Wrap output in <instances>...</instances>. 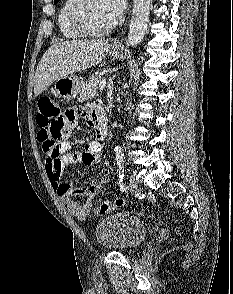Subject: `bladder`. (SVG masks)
<instances>
[{
	"label": "bladder",
	"instance_id": "31cf9c89",
	"mask_svg": "<svg viewBox=\"0 0 233 294\" xmlns=\"http://www.w3.org/2000/svg\"><path fill=\"white\" fill-rule=\"evenodd\" d=\"M148 235L146 224L138 217L117 212L98 222L95 237L99 245L105 249L129 252L139 248Z\"/></svg>",
	"mask_w": 233,
	"mask_h": 294
}]
</instances>
